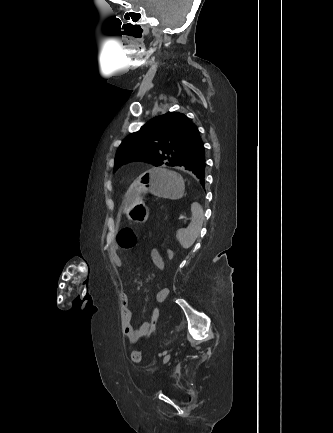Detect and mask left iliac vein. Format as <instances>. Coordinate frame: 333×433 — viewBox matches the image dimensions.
Returning a JSON list of instances; mask_svg holds the SVG:
<instances>
[{
    "label": "left iliac vein",
    "instance_id": "1",
    "mask_svg": "<svg viewBox=\"0 0 333 433\" xmlns=\"http://www.w3.org/2000/svg\"><path fill=\"white\" fill-rule=\"evenodd\" d=\"M170 357H171V355H170V354H167V355L164 357V359H163V363H164V364L167 363V362L169 361Z\"/></svg>",
    "mask_w": 333,
    "mask_h": 433
}]
</instances>
